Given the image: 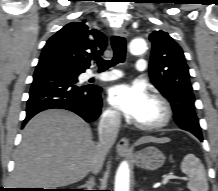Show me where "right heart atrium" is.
I'll return each instance as SVG.
<instances>
[{
    "label": "right heart atrium",
    "mask_w": 218,
    "mask_h": 191,
    "mask_svg": "<svg viewBox=\"0 0 218 191\" xmlns=\"http://www.w3.org/2000/svg\"><path fill=\"white\" fill-rule=\"evenodd\" d=\"M104 119L109 124H116L118 123L120 117L117 111L113 109H107L104 113Z\"/></svg>",
    "instance_id": "1"
}]
</instances>
